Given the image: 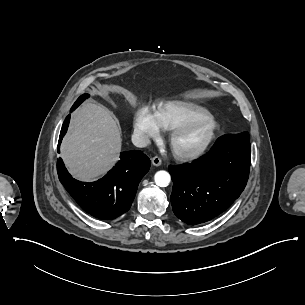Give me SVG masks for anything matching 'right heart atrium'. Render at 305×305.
I'll return each instance as SVG.
<instances>
[{"instance_id":"right-heart-atrium-1","label":"right heart atrium","mask_w":305,"mask_h":305,"mask_svg":"<svg viewBox=\"0 0 305 305\" xmlns=\"http://www.w3.org/2000/svg\"><path fill=\"white\" fill-rule=\"evenodd\" d=\"M134 129L142 138H154L159 135V125L155 114L147 108L140 109L134 120Z\"/></svg>"}]
</instances>
